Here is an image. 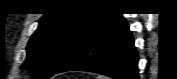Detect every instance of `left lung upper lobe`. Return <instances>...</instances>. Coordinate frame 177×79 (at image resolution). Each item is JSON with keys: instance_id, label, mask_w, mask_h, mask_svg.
I'll return each mask as SVG.
<instances>
[{"instance_id": "obj_1", "label": "left lung upper lobe", "mask_w": 177, "mask_h": 79, "mask_svg": "<svg viewBox=\"0 0 177 79\" xmlns=\"http://www.w3.org/2000/svg\"><path fill=\"white\" fill-rule=\"evenodd\" d=\"M107 13L93 11L51 12L42 17L27 46L22 68L35 79H49L76 44L94 29Z\"/></svg>"}]
</instances>
